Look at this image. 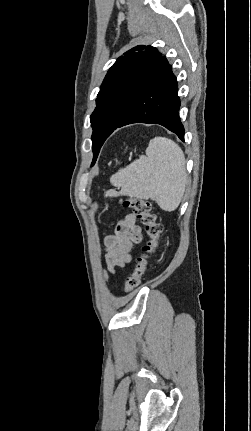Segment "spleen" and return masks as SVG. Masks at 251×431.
Masks as SVG:
<instances>
[{
  "label": "spleen",
  "mask_w": 251,
  "mask_h": 431,
  "mask_svg": "<svg viewBox=\"0 0 251 431\" xmlns=\"http://www.w3.org/2000/svg\"><path fill=\"white\" fill-rule=\"evenodd\" d=\"M185 156L177 143L165 137L149 142L146 156L120 169L110 183L120 192L110 190L108 196H130L152 199L165 211H174L184 196L187 173Z\"/></svg>",
  "instance_id": "1"
}]
</instances>
